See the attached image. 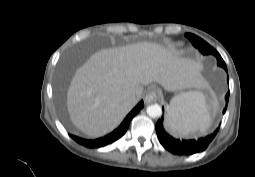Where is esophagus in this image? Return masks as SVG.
I'll use <instances>...</instances> for the list:
<instances>
[{"label":"esophagus","mask_w":255,"mask_h":177,"mask_svg":"<svg viewBox=\"0 0 255 177\" xmlns=\"http://www.w3.org/2000/svg\"><path fill=\"white\" fill-rule=\"evenodd\" d=\"M157 99H158V92H157V89L153 87L147 92L144 101L146 103H151L156 101Z\"/></svg>","instance_id":"1"}]
</instances>
